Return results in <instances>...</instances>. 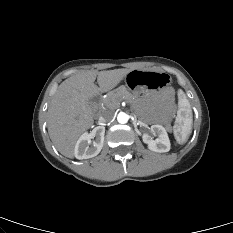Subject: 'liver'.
Listing matches in <instances>:
<instances>
[{"label":"liver","mask_w":233,"mask_h":233,"mask_svg":"<svg viewBox=\"0 0 233 233\" xmlns=\"http://www.w3.org/2000/svg\"><path fill=\"white\" fill-rule=\"evenodd\" d=\"M130 72L129 69L86 70L59 85L48 108L47 121L50 139L62 155L73 158L77 139L94 123L89 99L115 88ZM96 77L99 87L94 84Z\"/></svg>","instance_id":"liver-1"}]
</instances>
